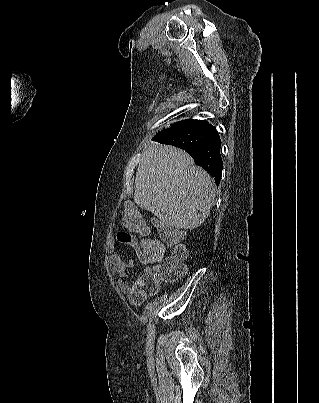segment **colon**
I'll return each mask as SVG.
<instances>
[{"mask_svg":"<svg viewBox=\"0 0 319 403\" xmlns=\"http://www.w3.org/2000/svg\"><path fill=\"white\" fill-rule=\"evenodd\" d=\"M126 208L123 223L133 231H142L144 223L140 213L135 208V203L128 201ZM158 226L162 241L174 248V253L171 256L164 258L163 245L160 241H156L155 234H148L147 237L137 236V246L136 249H133L134 252H141L148 260L154 263V267L147 270L137 282V285L142 286V291L146 292V296L157 292L162 282L174 281L182 277L186 272L185 259L187 251L183 245V233L180 230L161 224Z\"/></svg>","mask_w":319,"mask_h":403,"instance_id":"5ec220e1","label":"colon"}]
</instances>
